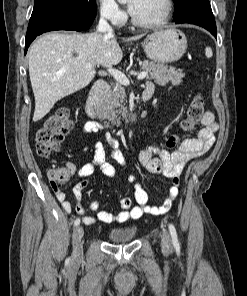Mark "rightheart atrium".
<instances>
[{
  "label": "right heart atrium",
  "mask_w": 247,
  "mask_h": 296,
  "mask_svg": "<svg viewBox=\"0 0 247 296\" xmlns=\"http://www.w3.org/2000/svg\"><path fill=\"white\" fill-rule=\"evenodd\" d=\"M100 16L114 25H121L125 22L126 14L119 7L116 0H97Z\"/></svg>",
  "instance_id": "1"
}]
</instances>
